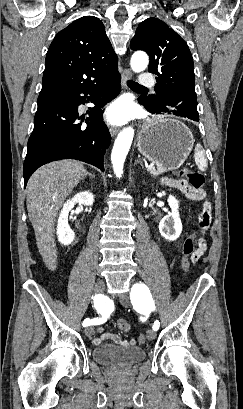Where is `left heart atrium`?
I'll return each mask as SVG.
<instances>
[{"instance_id":"left-heart-atrium-1","label":"left heart atrium","mask_w":243,"mask_h":409,"mask_svg":"<svg viewBox=\"0 0 243 409\" xmlns=\"http://www.w3.org/2000/svg\"><path fill=\"white\" fill-rule=\"evenodd\" d=\"M130 113V107L125 101H117L108 108L106 116L109 122L121 124L128 119Z\"/></svg>"}]
</instances>
